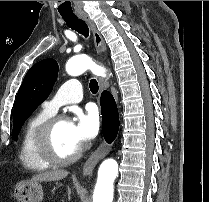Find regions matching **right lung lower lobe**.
I'll return each instance as SVG.
<instances>
[{
  "mask_svg": "<svg viewBox=\"0 0 209 202\" xmlns=\"http://www.w3.org/2000/svg\"><path fill=\"white\" fill-rule=\"evenodd\" d=\"M101 112L103 135L105 140L111 143L115 139L119 129V114L116 102L108 91H103L101 94Z\"/></svg>",
  "mask_w": 209,
  "mask_h": 202,
  "instance_id": "98d812e1",
  "label": "right lung lower lobe"
}]
</instances>
